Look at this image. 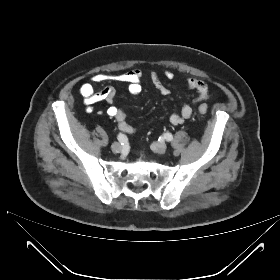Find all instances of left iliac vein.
Instances as JSON below:
<instances>
[{
    "label": "left iliac vein",
    "mask_w": 280,
    "mask_h": 280,
    "mask_svg": "<svg viewBox=\"0 0 280 280\" xmlns=\"http://www.w3.org/2000/svg\"><path fill=\"white\" fill-rule=\"evenodd\" d=\"M152 146H153L154 151L159 154H163L167 150V145L164 142H155V143H153Z\"/></svg>",
    "instance_id": "4c4485c4"
}]
</instances>
